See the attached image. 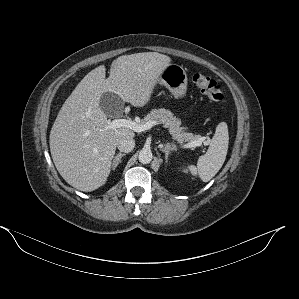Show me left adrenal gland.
Wrapping results in <instances>:
<instances>
[{
    "label": "left adrenal gland",
    "mask_w": 299,
    "mask_h": 299,
    "mask_svg": "<svg viewBox=\"0 0 299 299\" xmlns=\"http://www.w3.org/2000/svg\"><path fill=\"white\" fill-rule=\"evenodd\" d=\"M161 151L165 153V160L166 162H168V157H169V154L172 152V151H175L174 147H172L169 143H167L165 146H161L160 147Z\"/></svg>",
    "instance_id": "left-adrenal-gland-1"
}]
</instances>
